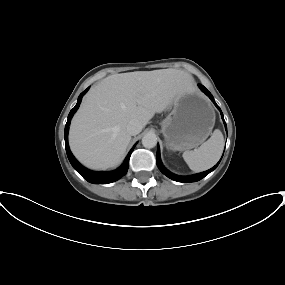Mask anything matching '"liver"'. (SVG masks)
Here are the masks:
<instances>
[{
	"mask_svg": "<svg viewBox=\"0 0 285 285\" xmlns=\"http://www.w3.org/2000/svg\"><path fill=\"white\" fill-rule=\"evenodd\" d=\"M195 90L188 72L172 68L110 75L90 89L74 115L71 151L88 168L113 167L130 143L126 126L131 120L144 127L177 97Z\"/></svg>",
	"mask_w": 285,
	"mask_h": 285,
	"instance_id": "1",
	"label": "liver"
}]
</instances>
